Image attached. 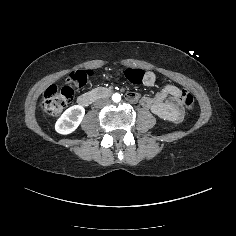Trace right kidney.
<instances>
[{"instance_id":"right-kidney-1","label":"right kidney","mask_w":236,"mask_h":236,"mask_svg":"<svg viewBox=\"0 0 236 236\" xmlns=\"http://www.w3.org/2000/svg\"><path fill=\"white\" fill-rule=\"evenodd\" d=\"M85 116V108L74 105L66 109L55 123V131L61 135H68L76 131Z\"/></svg>"}]
</instances>
